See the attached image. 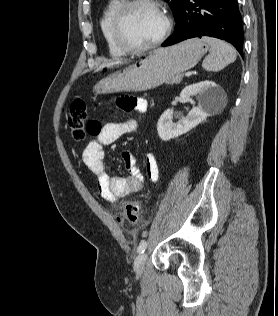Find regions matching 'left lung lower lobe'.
I'll list each match as a JSON object with an SVG mask.
<instances>
[{
    "instance_id": "obj_1",
    "label": "left lung lower lobe",
    "mask_w": 278,
    "mask_h": 316,
    "mask_svg": "<svg viewBox=\"0 0 278 316\" xmlns=\"http://www.w3.org/2000/svg\"><path fill=\"white\" fill-rule=\"evenodd\" d=\"M202 36L223 39L243 54L244 33L237 0H184L175 30L162 46Z\"/></svg>"
}]
</instances>
